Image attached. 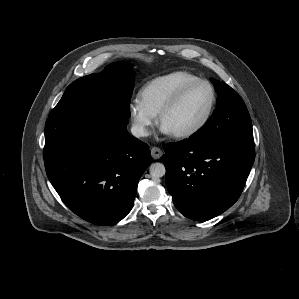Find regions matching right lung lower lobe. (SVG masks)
Masks as SVG:
<instances>
[{"label": "right lung lower lobe", "mask_w": 299, "mask_h": 299, "mask_svg": "<svg viewBox=\"0 0 299 299\" xmlns=\"http://www.w3.org/2000/svg\"><path fill=\"white\" fill-rule=\"evenodd\" d=\"M128 123L105 106L46 121L47 176L67 207L88 222L110 225L123 219L151 164L148 145L128 133Z\"/></svg>", "instance_id": "98d812e1"}]
</instances>
